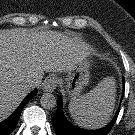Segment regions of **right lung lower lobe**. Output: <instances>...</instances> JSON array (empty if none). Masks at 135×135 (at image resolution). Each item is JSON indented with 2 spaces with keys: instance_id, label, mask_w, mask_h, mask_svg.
<instances>
[{
  "instance_id": "1",
  "label": "right lung lower lobe",
  "mask_w": 135,
  "mask_h": 135,
  "mask_svg": "<svg viewBox=\"0 0 135 135\" xmlns=\"http://www.w3.org/2000/svg\"><path fill=\"white\" fill-rule=\"evenodd\" d=\"M37 93V90L31 92L24 101L20 104L17 110L5 121L0 123V135H10L18 123L21 111L28 101Z\"/></svg>"
}]
</instances>
